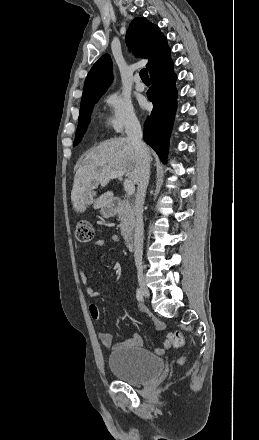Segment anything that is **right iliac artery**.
<instances>
[{
	"label": "right iliac artery",
	"mask_w": 259,
	"mask_h": 440,
	"mask_svg": "<svg viewBox=\"0 0 259 440\" xmlns=\"http://www.w3.org/2000/svg\"><path fill=\"white\" fill-rule=\"evenodd\" d=\"M136 298H137L138 301H142L143 300V294H142V292H141V290L139 288L136 290Z\"/></svg>",
	"instance_id": "1"
}]
</instances>
